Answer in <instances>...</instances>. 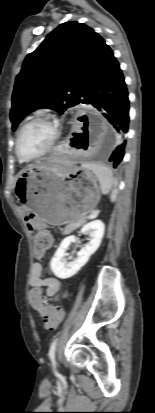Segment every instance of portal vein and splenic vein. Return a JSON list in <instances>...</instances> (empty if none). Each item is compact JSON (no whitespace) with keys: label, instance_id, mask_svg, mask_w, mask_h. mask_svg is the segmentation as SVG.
<instances>
[{"label":"portal vein and splenic vein","instance_id":"1","mask_svg":"<svg viewBox=\"0 0 155 413\" xmlns=\"http://www.w3.org/2000/svg\"><path fill=\"white\" fill-rule=\"evenodd\" d=\"M95 216L94 215H92L90 218H94Z\"/></svg>","mask_w":155,"mask_h":413}]
</instances>
